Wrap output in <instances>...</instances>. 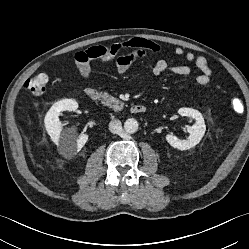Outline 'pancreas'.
I'll list each match as a JSON object with an SVG mask.
<instances>
[{
	"mask_svg": "<svg viewBox=\"0 0 249 249\" xmlns=\"http://www.w3.org/2000/svg\"><path fill=\"white\" fill-rule=\"evenodd\" d=\"M101 97L103 99L102 103L112 108L114 111H119L124 107V103L122 101L113 96H110L108 93H103Z\"/></svg>",
	"mask_w": 249,
	"mask_h": 249,
	"instance_id": "1",
	"label": "pancreas"
}]
</instances>
